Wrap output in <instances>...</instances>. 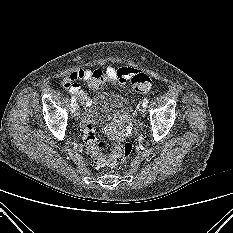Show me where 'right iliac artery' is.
<instances>
[{
  "instance_id": "right-iliac-artery-1",
  "label": "right iliac artery",
  "mask_w": 233,
  "mask_h": 233,
  "mask_svg": "<svg viewBox=\"0 0 233 233\" xmlns=\"http://www.w3.org/2000/svg\"><path fill=\"white\" fill-rule=\"evenodd\" d=\"M75 108H76V100H75V97L72 96L71 97V111H72V113L75 111Z\"/></svg>"
}]
</instances>
